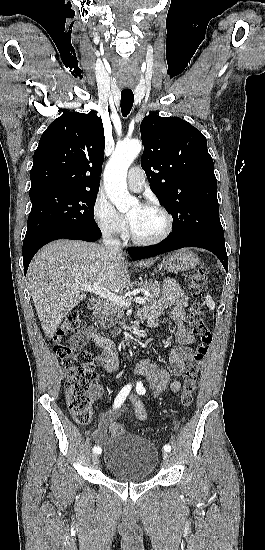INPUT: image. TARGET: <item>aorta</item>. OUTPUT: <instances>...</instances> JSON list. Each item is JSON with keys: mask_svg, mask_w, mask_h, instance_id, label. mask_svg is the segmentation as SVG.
Here are the masks:
<instances>
[{"mask_svg": "<svg viewBox=\"0 0 265 550\" xmlns=\"http://www.w3.org/2000/svg\"><path fill=\"white\" fill-rule=\"evenodd\" d=\"M141 148L142 143L138 139L118 144L104 171V186L107 196L122 213L137 204V199L128 192L126 176L129 166L138 156Z\"/></svg>", "mask_w": 265, "mask_h": 550, "instance_id": "obj_1", "label": "aorta"}]
</instances>
